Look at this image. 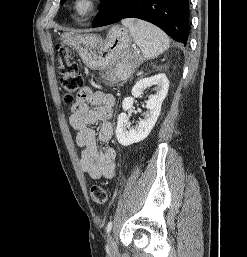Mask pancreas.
I'll return each mask as SVG.
<instances>
[{"label": "pancreas", "instance_id": "1", "mask_svg": "<svg viewBox=\"0 0 247 257\" xmlns=\"http://www.w3.org/2000/svg\"><path fill=\"white\" fill-rule=\"evenodd\" d=\"M116 71L118 72H126L127 71V68H123V67H116L115 69Z\"/></svg>", "mask_w": 247, "mask_h": 257}]
</instances>
